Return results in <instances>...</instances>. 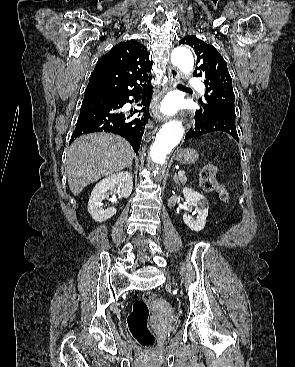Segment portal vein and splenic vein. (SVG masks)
I'll list each match as a JSON object with an SVG mask.
<instances>
[{
    "instance_id": "obj_1",
    "label": "portal vein and splenic vein",
    "mask_w": 295,
    "mask_h": 367,
    "mask_svg": "<svg viewBox=\"0 0 295 367\" xmlns=\"http://www.w3.org/2000/svg\"><path fill=\"white\" fill-rule=\"evenodd\" d=\"M185 174V171H183V170H180L179 172H178V176H182V175H184Z\"/></svg>"
}]
</instances>
